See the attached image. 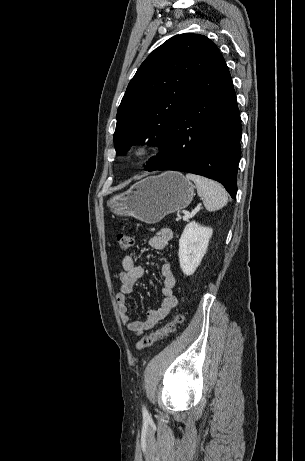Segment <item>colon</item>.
Here are the masks:
<instances>
[{"mask_svg":"<svg viewBox=\"0 0 305 461\" xmlns=\"http://www.w3.org/2000/svg\"><path fill=\"white\" fill-rule=\"evenodd\" d=\"M115 239L120 250H127L132 245V237L127 232L122 231L116 233ZM182 321V315L175 314L164 326L138 340L136 348L138 350H142L152 346L156 341L163 339L174 332L176 326L182 323Z\"/></svg>","mask_w":305,"mask_h":461,"instance_id":"colon-1","label":"colon"}]
</instances>
